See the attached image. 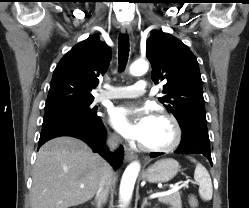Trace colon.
<instances>
[{
	"label": "colon",
	"mask_w": 249,
	"mask_h": 208,
	"mask_svg": "<svg viewBox=\"0 0 249 208\" xmlns=\"http://www.w3.org/2000/svg\"><path fill=\"white\" fill-rule=\"evenodd\" d=\"M189 204L192 208H197L198 207V200L194 195H191L189 197Z\"/></svg>",
	"instance_id": "obj_1"
}]
</instances>
